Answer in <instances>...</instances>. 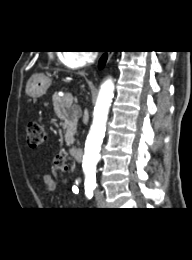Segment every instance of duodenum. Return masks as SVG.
I'll return each mask as SVG.
<instances>
[{"label": "duodenum", "mask_w": 192, "mask_h": 260, "mask_svg": "<svg viewBox=\"0 0 192 260\" xmlns=\"http://www.w3.org/2000/svg\"><path fill=\"white\" fill-rule=\"evenodd\" d=\"M70 154L76 161L80 162L83 157V149L79 146L72 147Z\"/></svg>", "instance_id": "obj_1"}]
</instances>
